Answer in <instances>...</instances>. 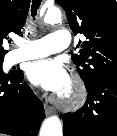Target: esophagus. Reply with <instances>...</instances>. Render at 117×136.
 <instances>
[{"label": "esophagus", "mask_w": 117, "mask_h": 136, "mask_svg": "<svg viewBox=\"0 0 117 136\" xmlns=\"http://www.w3.org/2000/svg\"><path fill=\"white\" fill-rule=\"evenodd\" d=\"M52 112H53L52 108L49 105L45 104L46 115H50Z\"/></svg>", "instance_id": "34e87169"}]
</instances>
